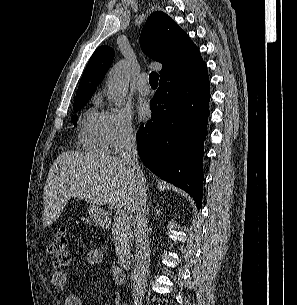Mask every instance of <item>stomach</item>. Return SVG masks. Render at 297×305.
I'll return each instance as SVG.
<instances>
[{"instance_id":"1","label":"stomach","mask_w":297,"mask_h":305,"mask_svg":"<svg viewBox=\"0 0 297 305\" xmlns=\"http://www.w3.org/2000/svg\"><path fill=\"white\" fill-rule=\"evenodd\" d=\"M89 215L92 218V220L97 223V224H101L104 222V213L103 211L95 206V205H91L89 207Z\"/></svg>"}]
</instances>
